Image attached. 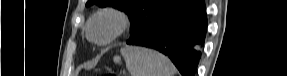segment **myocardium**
I'll return each mask as SVG.
<instances>
[{
  "instance_id": "1",
  "label": "myocardium",
  "mask_w": 287,
  "mask_h": 76,
  "mask_svg": "<svg viewBox=\"0 0 287 76\" xmlns=\"http://www.w3.org/2000/svg\"><path fill=\"white\" fill-rule=\"evenodd\" d=\"M102 19H110L113 22V29L107 36L99 38L93 35L92 27ZM130 23V18L124 11L116 8H105L90 17L86 25V35L95 44L106 46L119 38L129 28Z\"/></svg>"
}]
</instances>
